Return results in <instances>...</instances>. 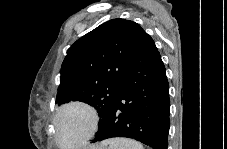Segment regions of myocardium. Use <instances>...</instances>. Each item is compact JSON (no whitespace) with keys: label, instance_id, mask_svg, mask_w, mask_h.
Returning a JSON list of instances; mask_svg holds the SVG:
<instances>
[{"label":"myocardium","instance_id":"obj_1","mask_svg":"<svg viewBox=\"0 0 227 149\" xmlns=\"http://www.w3.org/2000/svg\"><path fill=\"white\" fill-rule=\"evenodd\" d=\"M82 109L87 112L90 119V126L88 131L75 143L71 144H63L59 139V122L62 115L71 109ZM99 114L97 110L90 104L83 101H71L68 102L56 111L53 118V126H54V141L57 146H65V147H80L85 145L96 133L99 126Z\"/></svg>","mask_w":227,"mask_h":149}]
</instances>
